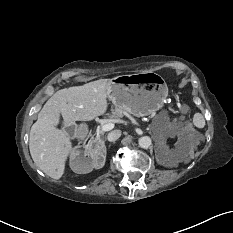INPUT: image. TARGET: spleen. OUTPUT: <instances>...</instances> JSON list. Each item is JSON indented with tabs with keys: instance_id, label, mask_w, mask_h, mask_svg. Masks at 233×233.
Segmentation results:
<instances>
[{
	"instance_id": "spleen-1",
	"label": "spleen",
	"mask_w": 233,
	"mask_h": 233,
	"mask_svg": "<svg viewBox=\"0 0 233 233\" xmlns=\"http://www.w3.org/2000/svg\"><path fill=\"white\" fill-rule=\"evenodd\" d=\"M173 123L177 124V123H179V120L177 118H174ZM193 124L197 128H203L205 126V120H204L202 114L195 113V115L193 117Z\"/></svg>"
}]
</instances>
